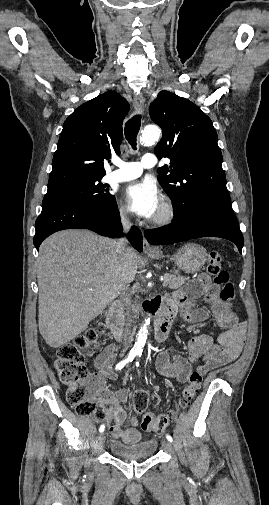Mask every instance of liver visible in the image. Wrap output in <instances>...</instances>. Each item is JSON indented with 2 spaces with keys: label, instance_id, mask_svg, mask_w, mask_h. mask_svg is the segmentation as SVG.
I'll list each match as a JSON object with an SVG mask.
<instances>
[{
  "label": "liver",
  "instance_id": "liver-1",
  "mask_svg": "<svg viewBox=\"0 0 269 505\" xmlns=\"http://www.w3.org/2000/svg\"><path fill=\"white\" fill-rule=\"evenodd\" d=\"M117 241L87 230H64L48 237L37 260L39 331L58 348L84 331L137 274V256Z\"/></svg>",
  "mask_w": 269,
  "mask_h": 505
}]
</instances>
